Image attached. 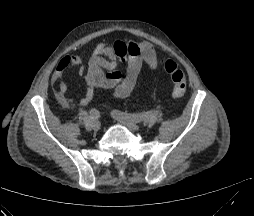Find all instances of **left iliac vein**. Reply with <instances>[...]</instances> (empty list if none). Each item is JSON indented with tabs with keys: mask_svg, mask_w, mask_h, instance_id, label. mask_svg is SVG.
<instances>
[{
	"mask_svg": "<svg viewBox=\"0 0 254 216\" xmlns=\"http://www.w3.org/2000/svg\"><path fill=\"white\" fill-rule=\"evenodd\" d=\"M112 116L115 120H117L119 123L127 126L128 128H130L132 130H139V126L135 121L125 118V117H121V116L117 115L116 113H113Z\"/></svg>",
	"mask_w": 254,
	"mask_h": 216,
	"instance_id": "1",
	"label": "left iliac vein"
}]
</instances>
